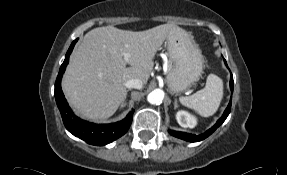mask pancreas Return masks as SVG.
Returning a JSON list of instances; mask_svg holds the SVG:
<instances>
[{"label":"pancreas","instance_id":"1","mask_svg":"<svg viewBox=\"0 0 287 175\" xmlns=\"http://www.w3.org/2000/svg\"><path fill=\"white\" fill-rule=\"evenodd\" d=\"M170 66H171V64H170V62H168V68H170Z\"/></svg>","mask_w":287,"mask_h":175}]
</instances>
